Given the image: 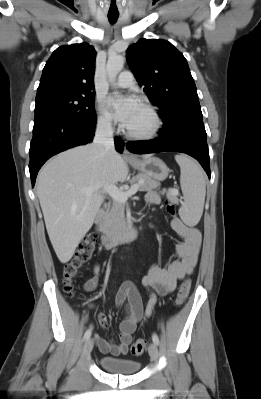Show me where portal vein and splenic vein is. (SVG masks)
<instances>
[{
  "label": "portal vein and splenic vein",
  "mask_w": 261,
  "mask_h": 399,
  "mask_svg": "<svg viewBox=\"0 0 261 399\" xmlns=\"http://www.w3.org/2000/svg\"><path fill=\"white\" fill-rule=\"evenodd\" d=\"M96 189H98V187H88L86 189H83V192L86 195H90L93 193V191H95ZM139 189V185L138 184H134L130 187V189H128L127 191H123L121 189H119L118 187H116L115 185H106L105 186V191L114 199L117 200L119 202H126L128 200L129 197H131L132 195H134ZM171 193L173 194H178L177 190H170Z\"/></svg>",
  "instance_id": "18ae733b"
}]
</instances>
